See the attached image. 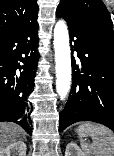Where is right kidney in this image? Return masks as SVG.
<instances>
[{"label": "right kidney", "instance_id": "right-kidney-1", "mask_svg": "<svg viewBox=\"0 0 114 156\" xmlns=\"http://www.w3.org/2000/svg\"><path fill=\"white\" fill-rule=\"evenodd\" d=\"M0 156H26V144L23 141L11 143L0 152Z\"/></svg>", "mask_w": 114, "mask_h": 156}]
</instances>
